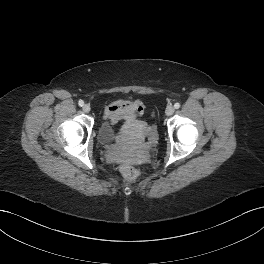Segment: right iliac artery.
I'll return each mask as SVG.
<instances>
[{
	"instance_id": "obj_1",
	"label": "right iliac artery",
	"mask_w": 264,
	"mask_h": 264,
	"mask_svg": "<svg viewBox=\"0 0 264 264\" xmlns=\"http://www.w3.org/2000/svg\"><path fill=\"white\" fill-rule=\"evenodd\" d=\"M78 104L82 107L84 105V102L82 100H79Z\"/></svg>"
}]
</instances>
